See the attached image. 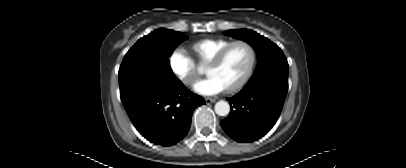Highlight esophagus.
Masks as SVG:
<instances>
[{"mask_svg":"<svg viewBox=\"0 0 406 168\" xmlns=\"http://www.w3.org/2000/svg\"><path fill=\"white\" fill-rule=\"evenodd\" d=\"M206 103H214L216 101L215 98H211V97H206L205 98Z\"/></svg>","mask_w":406,"mask_h":168,"instance_id":"obj_1","label":"esophagus"}]
</instances>
